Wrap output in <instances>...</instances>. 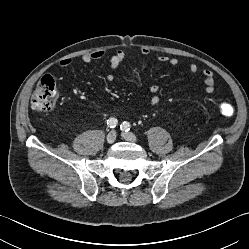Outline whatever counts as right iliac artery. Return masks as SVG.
Returning <instances> with one entry per match:
<instances>
[{"label": "right iliac artery", "instance_id": "obj_1", "mask_svg": "<svg viewBox=\"0 0 249 249\" xmlns=\"http://www.w3.org/2000/svg\"><path fill=\"white\" fill-rule=\"evenodd\" d=\"M107 124L110 128H115L118 125V121L115 118H110L107 120Z\"/></svg>", "mask_w": 249, "mask_h": 249}]
</instances>
